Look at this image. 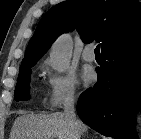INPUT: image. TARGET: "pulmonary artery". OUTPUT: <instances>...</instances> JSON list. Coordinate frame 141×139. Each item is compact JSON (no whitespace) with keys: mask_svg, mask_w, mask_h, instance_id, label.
<instances>
[{"mask_svg":"<svg viewBox=\"0 0 141 139\" xmlns=\"http://www.w3.org/2000/svg\"><path fill=\"white\" fill-rule=\"evenodd\" d=\"M82 57L87 62L95 61V54L93 51V46L91 45L86 46L83 50Z\"/></svg>","mask_w":141,"mask_h":139,"instance_id":"obj_1","label":"pulmonary artery"}]
</instances>
